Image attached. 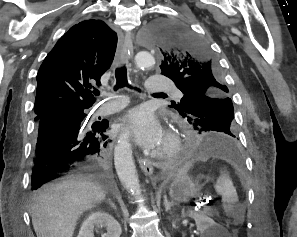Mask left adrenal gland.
I'll return each mask as SVG.
<instances>
[{
  "label": "left adrenal gland",
  "mask_w": 297,
  "mask_h": 237,
  "mask_svg": "<svg viewBox=\"0 0 297 237\" xmlns=\"http://www.w3.org/2000/svg\"><path fill=\"white\" fill-rule=\"evenodd\" d=\"M164 205H165V210L168 212L172 206H174L173 202H168L167 197L164 196Z\"/></svg>",
  "instance_id": "a2214340"
}]
</instances>
